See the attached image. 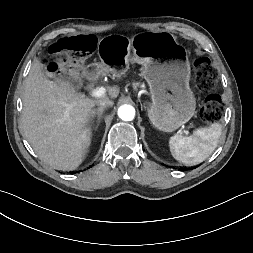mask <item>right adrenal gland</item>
<instances>
[{"mask_svg": "<svg viewBox=\"0 0 253 253\" xmlns=\"http://www.w3.org/2000/svg\"><path fill=\"white\" fill-rule=\"evenodd\" d=\"M104 110H105V108H98V109L94 110V113H93L92 117L90 118L89 129H91V126L94 123L95 117H97L96 129L98 128Z\"/></svg>", "mask_w": 253, "mask_h": 253, "instance_id": "right-adrenal-gland-1", "label": "right adrenal gland"}]
</instances>
